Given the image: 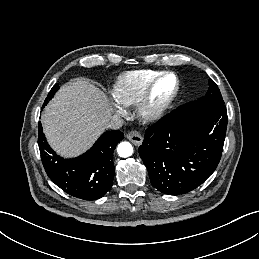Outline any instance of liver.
Instances as JSON below:
<instances>
[{
    "label": "liver",
    "instance_id": "6515ba94",
    "mask_svg": "<svg viewBox=\"0 0 259 259\" xmlns=\"http://www.w3.org/2000/svg\"><path fill=\"white\" fill-rule=\"evenodd\" d=\"M112 112L107 96L99 88L76 78L64 84L45 107L42 125L57 153L75 157L108 128Z\"/></svg>",
    "mask_w": 259,
    "mask_h": 259
}]
</instances>
